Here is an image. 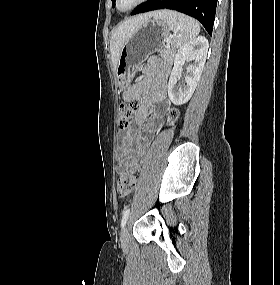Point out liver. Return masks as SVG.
Masks as SVG:
<instances>
[{
	"label": "liver",
	"mask_w": 280,
	"mask_h": 285,
	"mask_svg": "<svg viewBox=\"0 0 280 285\" xmlns=\"http://www.w3.org/2000/svg\"><path fill=\"white\" fill-rule=\"evenodd\" d=\"M157 12H150L132 17L121 23L115 29L110 40V52L115 69L117 68L119 56L124 43L134 34L140 25L148 21L151 17H155Z\"/></svg>",
	"instance_id": "6515ba94"
}]
</instances>
